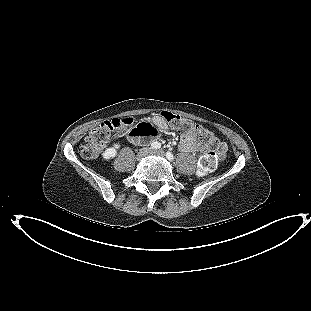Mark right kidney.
<instances>
[{"instance_id": "1", "label": "right kidney", "mask_w": 311, "mask_h": 311, "mask_svg": "<svg viewBox=\"0 0 311 311\" xmlns=\"http://www.w3.org/2000/svg\"><path fill=\"white\" fill-rule=\"evenodd\" d=\"M120 148L119 143H114L112 147L107 148L103 153L102 157L105 160L114 158L117 155V149Z\"/></svg>"}]
</instances>
